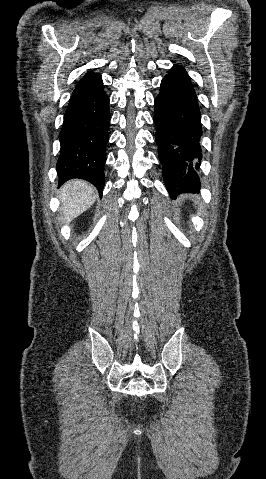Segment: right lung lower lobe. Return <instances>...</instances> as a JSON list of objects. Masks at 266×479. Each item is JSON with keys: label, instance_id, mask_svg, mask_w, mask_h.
<instances>
[{"label": "right lung lower lobe", "instance_id": "98d812e1", "mask_svg": "<svg viewBox=\"0 0 266 479\" xmlns=\"http://www.w3.org/2000/svg\"><path fill=\"white\" fill-rule=\"evenodd\" d=\"M109 97L97 73L76 85L59 134L60 156L56 164L59 185L72 178L92 183L100 195L104 188L105 147L109 140Z\"/></svg>", "mask_w": 266, "mask_h": 479}]
</instances>
